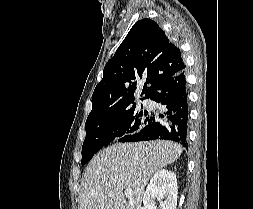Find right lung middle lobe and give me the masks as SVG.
I'll list each match as a JSON object with an SVG mask.
<instances>
[{"label": "right lung middle lobe", "mask_w": 253, "mask_h": 209, "mask_svg": "<svg viewBox=\"0 0 253 209\" xmlns=\"http://www.w3.org/2000/svg\"><path fill=\"white\" fill-rule=\"evenodd\" d=\"M150 115L138 106L126 110L115 111L89 117L86 120V138L82 146V165H85L93 155L104 145L119 136V141L138 132L147 122ZM117 129L115 134L113 131Z\"/></svg>", "instance_id": "right-lung-middle-lobe-1"}]
</instances>
